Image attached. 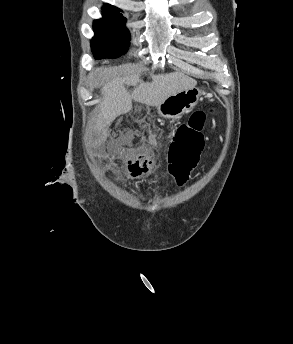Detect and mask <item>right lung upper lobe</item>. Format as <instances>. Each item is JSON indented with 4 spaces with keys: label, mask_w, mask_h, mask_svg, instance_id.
<instances>
[{
    "label": "right lung upper lobe",
    "mask_w": 293,
    "mask_h": 344,
    "mask_svg": "<svg viewBox=\"0 0 293 344\" xmlns=\"http://www.w3.org/2000/svg\"><path fill=\"white\" fill-rule=\"evenodd\" d=\"M103 9H113V10H118L119 11V9L117 7H114V6L109 5V4H105Z\"/></svg>",
    "instance_id": "right-lung-upper-lobe-1"
}]
</instances>
